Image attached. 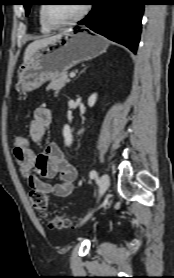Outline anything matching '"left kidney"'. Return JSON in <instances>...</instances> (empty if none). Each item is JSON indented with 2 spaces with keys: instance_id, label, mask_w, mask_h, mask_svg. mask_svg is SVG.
<instances>
[{
  "instance_id": "5707ae66",
  "label": "left kidney",
  "mask_w": 174,
  "mask_h": 278,
  "mask_svg": "<svg viewBox=\"0 0 174 278\" xmlns=\"http://www.w3.org/2000/svg\"><path fill=\"white\" fill-rule=\"evenodd\" d=\"M97 100V94L94 93L92 94L89 98H88V105L90 107H93L96 103ZM84 130L81 129L78 134H81ZM63 137H64V142L66 146H71L72 142H73V136L71 133V129L69 125H65L63 128Z\"/></svg>"
}]
</instances>
